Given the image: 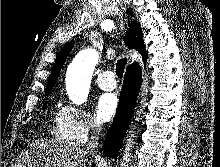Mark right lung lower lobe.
<instances>
[{
  "instance_id": "98d812e1",
  "label": "right lung lower lobe",
  "mask_w": 220,
  "mask_h": 167,
  "mask_svg": "<svg viewBox=\"0 0 220 167\" xmlns=\"http://www.w3.org/2000/svg\"><path fill=\"white\" fill-rule=\"evenodd\" d=\"M141 81V68L139 65L128 67L124 76V84L120 92L119 106L113 124L105 139L104 153L110 158L115 159L118 156L125 132L131 122Z\"/></svg>"
}]
</instances>
